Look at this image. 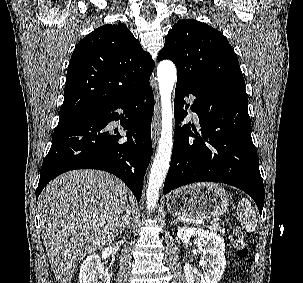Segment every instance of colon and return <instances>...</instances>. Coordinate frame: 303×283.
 <instances>
[{
    "label": "colon",
    "mask_w": 303,
    "mask_h": 283,
    "mask_svg": "<svg viewBox=\"0 0 303 283\" xmlns=\"http://www.w3.org/2000/svg\"><path fill=\"white\" fill-rule=\"evenodd\" d=\"M232 246L240 258H245L248 254V242L241 230H235L231 235Z\"/></svg>",
    "instance_id": "colon-1"
}]
</instances>
